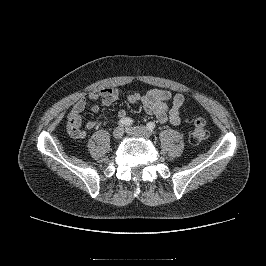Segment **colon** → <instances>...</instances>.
<instances>
[{"label":"colon","mask_w":266,"mask_h":266,"mask_svg":"<svg viewBox=\"0 0 266 266\" xmlns=\"http://www.w3.org/2000/svg\"><path fill=\"white\" fill-rule=\"evenodd\" d=\"M208 136V129L206 121L202 117H197L194 120L193 126L190 131L189 141L193 145H198L204 141Z\"/></svg>","instance_id":"5ec220e1"}]
</instances>
